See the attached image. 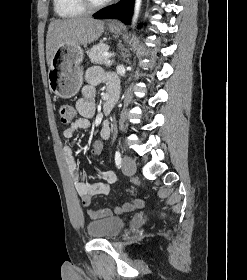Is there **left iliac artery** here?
I'll list each match as a JSON object with an SVG mask.
<instances>
[{
    "label": "left iliac artery",
    "mask_w": 247,
    "mask_h": 280,
    "mask_svg": "<svg viewBox=\"0 0 247 280\" xmlns=\"http://www.w3.org/2000/svg\"><path fill=\"white\" fill-rule=\"evenodd\" d=\"M115 164L118 168L121 167V154L118 150L115 152Z\"/></svg>",
    "instance_id": "obj_1"
}]
</instances>
